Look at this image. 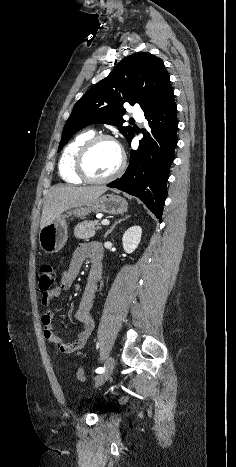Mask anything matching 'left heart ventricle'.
I'll list each match as a JSON object with an SVG mask.
<instances>
[{
	"mask_svg": "<svg viewBox=\"0 0 236 467\" xmlns=\"http://www.w3.org/2000/svg\"><path fill=\"white\" fill-rule=\"evenodd\" d=\"M118 147L107 140L99 141L90 151L87 158V169L91 175L103 178L110 175L119 165Z\"/></svg>",
	"mask_w": 236,
	"mask_h": 467,
	"instance_id": "1",
	"label": "left heart ventricle"
}]
</instances>
